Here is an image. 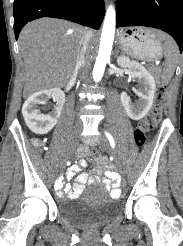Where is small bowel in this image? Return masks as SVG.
<instances>
[{"instance_id": "1", "label": "small bowel", "mask_w": 183, "mask_h": 246, "mask_svg": "<svg viewBox=\"0 0 183 246\" xmlns=\"http://www.w3.org/2000/svg\"><path fill=\"white\" fill-rule=\"evenodd\" d=\"M82 151V150H81ZM85 166L84 161H80L77 164L72 165L66 173L67 179H72L75 175L81 171V169ZM104 172V176H101L100 173ZM119 180L118 174L112 169L103 170L102 168L98 169L94 174L89 176L87 173L82 172L78 174L74 180L73 187L65 186L64 180H53V184H51V189H57V193L59 197H68V198H76L78 197L86 183L94 184L101 183L107 189V191L111 192V198H126V193H121L124 190L123 186H120V183L117 182ZM122 183L126 182L125 178L121 179Z\"/></svg>"}]
</instances>
